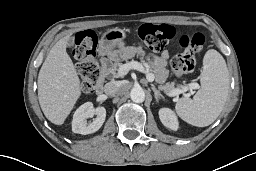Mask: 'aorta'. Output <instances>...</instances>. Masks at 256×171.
Instances as JSON below:
<instances>
[{
  "mask_svg": "<svg viewBox=\"0 0 256 171\" xmlns=\"http://www.w3.org/2000/svg\"><path fill=\"white\" fill-rule=\"evenodd\" d=\"M130 97L133 102L142 103L145 100V92L140 86L133 87L130 92Z\"/></svg>",
  "mask_w": 256,
  "mask_h": 171,
  "instance_id": "762f6f07",
  "label": "aorta"
}]
</instances>
